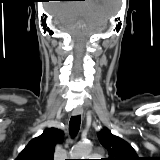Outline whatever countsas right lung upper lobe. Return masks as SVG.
<instances>
[{
  "mask_svg": "<svg viewBox=\"0 0 160 160\" xmlns=\"http://www.w3.org/2000/svg\"><path fill=\"white\" fill-rule=\"evenodd\" d=\"M63 139V133L56 128L46 129L32 139L16 160H53L55 146Z\"/></svg>",
  "mask_w": 160,
  "mask_h": 160,
  "instance_id": "right-lung-upper-lobe-1",
  "label": "right lung upper lobe"
}]
</instances>
